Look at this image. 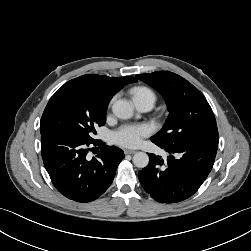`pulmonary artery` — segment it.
Listing matches in <instances>:
<instances>
[{
  "mask_svg": "<svg viewBox=\"0 0 251 251\" xmlns=\"http://www.w3.org/2000/svg\"><path fill=\"white\" fill-rule=\"evenodd\" d=\"M134 104L139 111L146 112L153 107L154 102L149 98H138L134 99Z\"/></svg>",
  "mask_w": 251,
  "mask_h": 251,
  "instance_id": "1",
  "label": "pulmonary artery"
}]
</instances>
